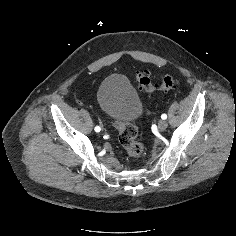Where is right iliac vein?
<instances>
[{
	"mask_svg": "<svg viewBox=\"0 0 236 236\" xmlns=\"http://www.w3.org/2000/svg\"><path fill=\"white\" fill-rule=\"evenodd\" d=\"M95 120H96V122L99 123L100 126H102V127H101V132L103 133V132L106 130V127H105L104 124L100 121L99 115L96 116Z\"/></svg>",
	"mask_w": 236,
	"mask_h": 236,
	"instance_id": "obj_1",
	"label": "right iliac vein"
}]
</instances>
